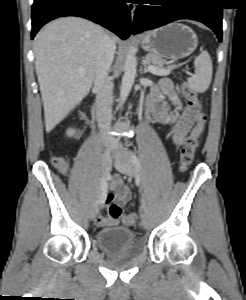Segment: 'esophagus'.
Returning a JSON list of instances; mask_svg holds the SVG:
<instances>
[{
	"mask_svg": "<svg viewBox=\"0 0 246 300\" xmlns=\"http://www.w3.org/2000/svg\"><path fill=\"white\" fill-rule=\"evenodd\" d=\"M130 12H131V20H133V16H134V11H135V5H133L132 3H130V5H128Z\"/></svg>",
	"mask_w": 246,
	"mask_h": 300,
	"instance_id": "esophagus-1",
	"label": "esophagus"
}]
</instances>
